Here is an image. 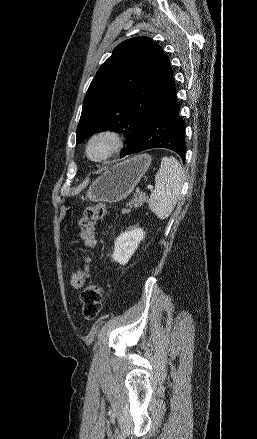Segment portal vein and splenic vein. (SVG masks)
<instances>
[{"mask_svg":"<svg viewBox=\"0 0 257 439\" xmlns=\"http://www.w3.org/2000/svg\"><path fill=\"white\" fill-rule=\"evenodd\" d=\"M147 188H148L149 190H152V189H153V186L149 185V186H147Z\"/></svg>","mask_w":257,"mask_h":439,"instance_id":"portal-vein-and-splenic-vein-1","label":"portal vein and splenic vein"}]
</instances>
